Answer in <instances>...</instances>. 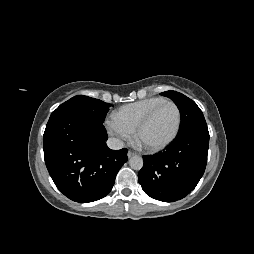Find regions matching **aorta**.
Here are the masks:
<instances>
[{
    "label": "aorta",
    "mask_w": 254,
    "mask_h": 254,
    "mask_svg": "<svg viewBox=\"0 0 254 254\" xmlns=\"http://www.w3.org/2000/svg\"><path fill=\"white\" fill-rule=\"evenodd\" d=\"M129 165L134 170H140L143 167V159L140 156H133L129 160Z\"/></svg>",
    "instance_id": "1"
}]
</instances>
